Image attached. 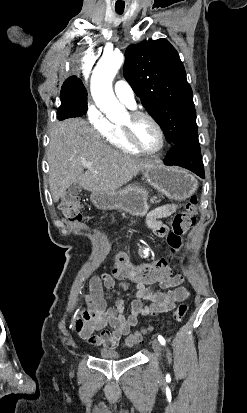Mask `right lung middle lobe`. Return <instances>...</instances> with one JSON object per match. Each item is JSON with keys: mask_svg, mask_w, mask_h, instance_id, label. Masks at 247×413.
Here are the masks:
<instances>
[{"mask_svg": "<svg viewBox=\"0 0 247 413\" xmlns=\"http://www.w3.org/2000/svg\"><path fill=\"white\" fill-rule=\"evenodd\" d=\"M62 104L76 109L79 117L87 112V91L81 80H66L60 94Z\"/></svg>", "mask_w": 247, "mask_h": 413, "instance_id": "obj_1", "label": "right lung middle lobe"}]
</instances>
